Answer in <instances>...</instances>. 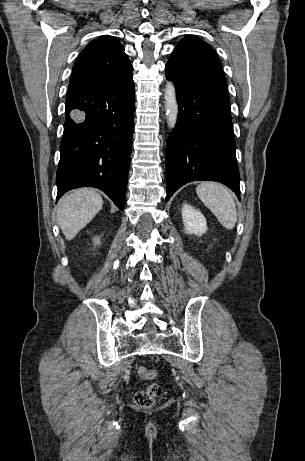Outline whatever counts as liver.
Segmentation results:
<instances>
[{
	"label": "liver",
	"instance_id": "obj_1",
	"mask_svg": "<svg viewBox=\"0 0 305 461\" xmlns=\"http://www.w3.org/2000/svg\"><path fill=\"white\" fill-rule=\"evenodd\" d=\"M102 206V197L90 188H80L64 196L59 202L57 220L66 239L72 240Z\"/></svg>",
	"mask_w": 305,
	"mask_h": 461
}]
</instances>
